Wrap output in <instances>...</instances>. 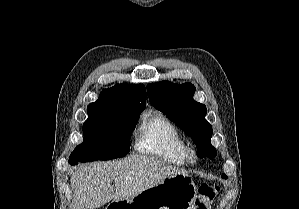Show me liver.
<instances>
[{"label": "liver", "instance_id": "6515ba94", "mask_svg": "<svg viewBox=\"0 0 299 209\" xmlns=\"http://www.w3.org/2000/svg\"><path fill=\"white\" fill-rule=\"evenodd\" d=\"M187 172L160 159L131 155L115 162L88 164L70 179L74 193L72 209H94L110 202L131 199L164 179ZM114 180L115 189L111 186Z\"/></svg>", "mask_w": 299, "mask_h": 209}]
</instances>
